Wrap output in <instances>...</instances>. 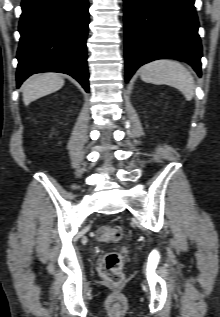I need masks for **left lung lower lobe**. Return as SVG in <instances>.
<instances>
[{
	"mask_svg": "<svg viewBox=\"0 0 220 317\" xmlns=\"http://www.w3.org/2000/svg\"><path fill=\"white\" fill-rule=\"evenodd\" d=\"M126 81L143 64L173 58L201 76L194 0H124Z\"/></svg>",
	"mask_w": 220,
	"mask_h": 317,
	"instance_id": "1",
	"label": "left lung lower lobe"
}]
</instances>
